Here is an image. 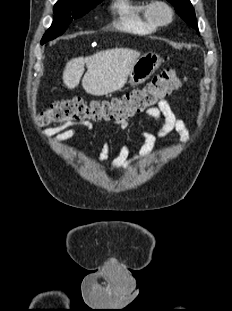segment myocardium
<instances>
[{"mask_svg":"<svg viewBox=\"0 0 232 311\" xmlns=\"http://www.w3.org/2000/svg\"><path fill=\"white\" fill-rule=\"evenodd\" d=\"M163 11L166 17L163 18L160 12ZM148 15L157 26H165L170 24L174 18V10L172 6L163 0L151 1L148 6Z\"/></svg>","mask_w":232,"mask_h":311,"instance_id":"f54148a6","label":"myocardium"}]
</instances>
